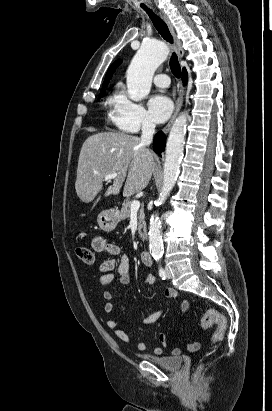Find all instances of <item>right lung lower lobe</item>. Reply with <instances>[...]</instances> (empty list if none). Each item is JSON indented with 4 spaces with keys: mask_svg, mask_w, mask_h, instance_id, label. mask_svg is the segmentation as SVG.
Masks as SVG:
<instances>
[{
    "mask_svg": "<svg viewBox=\"0 0 272 411\" xmlns=\"http://www.w3.org/2000/svg\"><path fill=\"white\" fill-rule=\"evenodd\" d=\"M182 81L184 84L187 82V71L183 69V77ZM165 147V135L163 132H158L154 137L153 149L156 153L160 154L161 151L164 150Z\"/></svg>",
    "mask_w": 272,
    "mask_h": 411,
    "instance_id": "obj_1",
    "label": "right lung lower lobe"
}]
</instances>
